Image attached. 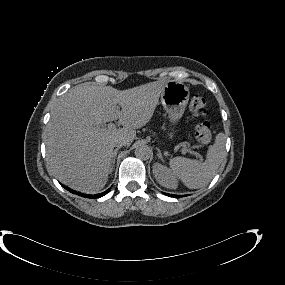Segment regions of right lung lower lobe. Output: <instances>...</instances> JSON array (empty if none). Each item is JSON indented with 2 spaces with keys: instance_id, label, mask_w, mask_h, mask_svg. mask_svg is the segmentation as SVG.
Wrapping results in <instances>:
<instances>
[{
  "instance_id": "obj_1",
  "label": "right lung lower lobe",
  "mask_w": 285,
  "mask_h": 285,
  "mask_svg": "<svg viewBox=\"0 0 285 285\" xmlns=\"http://www.w3.org/2000/svg\"><path fill=\"white\" fill-rule=\"evenodd\" d=\"M63 187H64L66 190L70 191L71 193H74V194H77V195H80V196L86 197V198H99V197H102V196L106 195V194L110 191V189H111V188H109L108 190H106L105 192H102V193H100V194L87 195V194H82V193H77V192H75V191H72L71 189H69V188H67V187H65V186H63Z\"/></svg>"
}]
</instances>
